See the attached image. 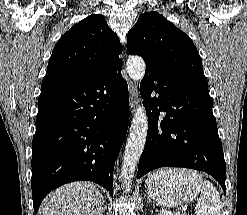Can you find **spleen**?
Here are the masks:
<instances>
[{"label": "spleen", "instance_id": "3e777b00", "mask_svg": "<svg viewBox=\"0 0 247 215\" xmlns=\"http://www.w3.org/2000/svg\"><path fill=\"white\" fill-rule=\"evenodd\" d=\"M202 194L196 205V215H221V201L219 192L209 181L202 184Z\"/></svg>", "mask_w": 247, "mask_h": 215}]
</instances>
